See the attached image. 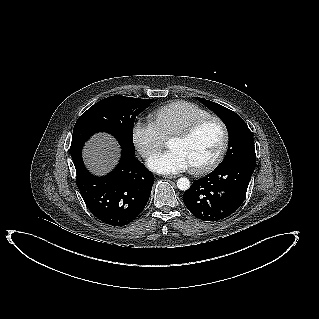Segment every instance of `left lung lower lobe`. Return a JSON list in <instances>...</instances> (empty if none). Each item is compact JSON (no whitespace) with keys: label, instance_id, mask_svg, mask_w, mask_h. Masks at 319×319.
<instances>
[{"label":"left lung lower lobe","instance_id":"obj_1","mask_svg":"<svg viewBox=\"0 0 319 319\" xmlns=\"http://www.w3.org/2000/svg\"><path fill=\"white\" fill-rule=\"evenodd\" d=\"M255 163L236 160L193 182L183 194L188 210L204 221L222 220L242 205Z\"/></svg>","mask_w":319,"mask_h":319}]
</instances>
